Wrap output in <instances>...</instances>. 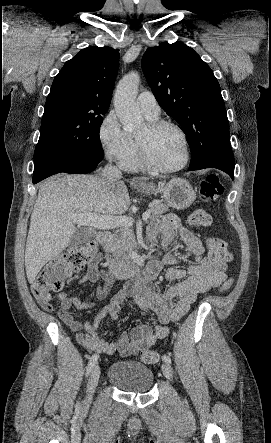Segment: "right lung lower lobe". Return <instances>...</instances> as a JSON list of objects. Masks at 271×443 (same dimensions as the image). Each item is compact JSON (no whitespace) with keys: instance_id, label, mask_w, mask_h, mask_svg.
<instances>
[{"instance_id":"98d812e1","label":"right lung lower lobe","mask_w":271,"mask_h":443,"mask_svg":"<svg viewBox=\"0 0 271 443\" xmlns=\"http://www.w3.org/2000/svg\"><path fill=\"white\" fill-rule=\"evenodd\" d=\"M102 159L95 154L54 152L34 163L33 183L56 173L84 174L92 172Z\"/></svg>"}]
</instances>
